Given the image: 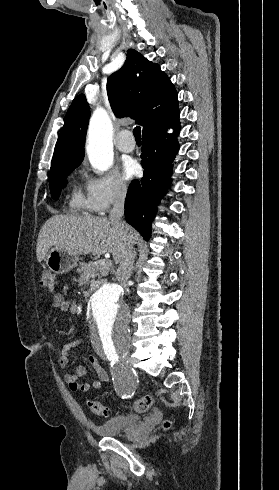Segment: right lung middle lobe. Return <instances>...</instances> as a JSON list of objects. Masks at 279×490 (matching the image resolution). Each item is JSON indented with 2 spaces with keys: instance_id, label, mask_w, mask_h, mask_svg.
<instances>
[{
  "instance_id": "1",
  "label": "right lung middle lobe",
  "mask_w": 279,
  "mask_h": 490,
  "mask_svg": "<svg viewBox=\"0 0 279 490\" xmlns=\"http://www.w3.org/2000/svg\"><path fill=\"white\" fill-rule=\"evenodd\" d=\"M77 166H79V164L59 168L50 172L49 187H50L52 198L54 199L59 198L61 192V186L64 187L66 184V182H64L66 175L71 173L74 170V168H76Z\"/></svg>"
}]
</instances>
